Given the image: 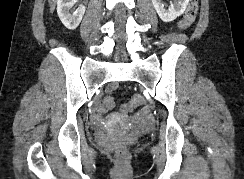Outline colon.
<instances>
[{
	"label": "colon",
	"instance_id": "colon-1",
	"mask_svg": "<svg viewBox=\"0 0 244 179\" xmlns=\"http://www.w3.org/2000/svg\"><path fill=\"white\" fill-rule=\"evenodd\" d=\"M200 0H192L187 6L181 20L179 23V28L181 30L188 29L193 22L199 12V4ZM101 100L104 101L105 107L107 109H117V104L115 103L114 96H102ZM147 107V99L145 95H134L132 101H125V104H121V112H123V118H128V112H132V109H139V106ZM109 116L113 115L112 111L108 112ZM115 158H127V150L124 147H120L119 150H116Z\"/></svg>",
	"mask_w": 244,
	"mask_h": 179
}]
</instances>
